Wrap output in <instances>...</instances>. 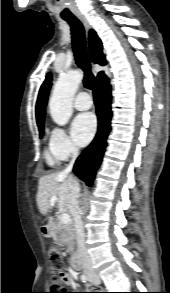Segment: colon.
<instances>
[{
    "instance_id": "1",
    "label": "colon",
    "mask_w": 170,
    "mask_h": 293,
    "mask_svg": "<svg viewBox=\"0 0 170 293\" xmlns=\"http://www.w3.org/2000/svg\"><path fill=\"white\" fill-rule=\"evenodd\" d=\"M49 262L54 271L52 283L54 286L53 292L50 293H63V284L67 282V277L64 272V260L58 252H51L49 254Z\"/></svg>"
}]
</instances>
